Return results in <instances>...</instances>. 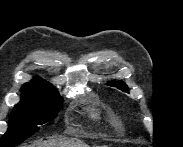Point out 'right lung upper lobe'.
Returning a JSON list of instances; mask_svg holds the SVG:
<instances>
[{
	"mask_svg": "<svg viewBox=\"0 0 183 147\" xmlns=\"http://www.w3.org/2000/svg\"><path fill=\"white\" fill-rule=\"evenodd\" d=\"M39 89V90H55L54 86L41 78H34L31 82L22 86L21 90Z\"/></svg>",
	"mask_w": 183,
	"mask_h": 147,
	"instance_id": "cb5924a9",
	"label": "right lung upper lobe"
}]
</instances>
